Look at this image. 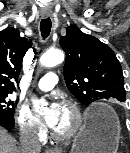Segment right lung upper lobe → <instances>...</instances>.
Instances as JSON below:
<instances>
[{"label": "right lung upper lobe", "mask_w": 130, "mask_h": 153, "mask_svg": "<svg viewBox=\"0 0 130 153\" xmlns=\"http://www.w3.org/2000/svg\"><path fill=\"white\" fill-rule=\"evenodd\" d=\"M32 45L14 28L0 31V93H12L18 80L23 57Z\"/></svg>", "instance_id": "1"}]
</instances>
